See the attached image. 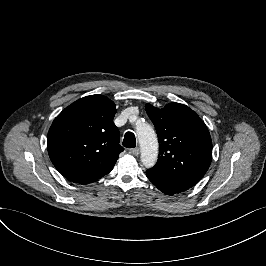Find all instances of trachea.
Instances as JSON below:
<instances>
[{
	"label": "trachea",
	"instance_id": "1",
	"mask_svg": "<svg viewBox=\"0 0 266 266\" xmlns=\"http://www.w3.org/2000/svg\"><path fill=\"white\" fill-rule=\"evenodd\" d=\"M123 146L127 148H133L136 146L135 135L132 132H127L124 136Z\"/></svg>",
	"mask_w": 266,
	"mask_h": 266
}]
</instances>
